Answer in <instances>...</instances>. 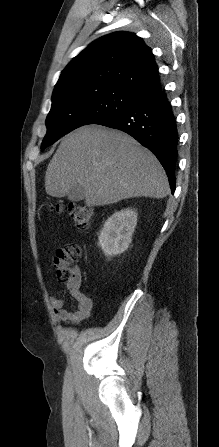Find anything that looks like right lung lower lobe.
Instances as JSON below:
<instances>
[{"instance_id": "1", "label": "right lung lower lobe", "mask_w": 219, "mask_h": 447, "mask_svg": "<svg viewBox=\"0 0 219 447\" xmlns=\"http://www.w3.org/2000/svg\"><path fill=\"white\" fill-rule=\"evenodd\" d=\"M96 124L121 130L148 148L165 169L174 193L179 137L172 106L161 88Z\"/></svg>"}]
</instances>
